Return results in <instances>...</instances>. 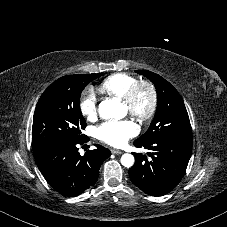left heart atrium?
<instances>
[{"instance_id": "left-heart-atrium-1", "label": "left heart atrium", "mask_w": 227, "mask_h": 227, "mask_svg": "<svg viewBox=\"0 0 227 227\" xmlns=\"http://www.w3.org/2000/svg\"><path fill=\"white\" fill-rule=\"evenodd\" d=\"M137 134L136 127L130 121H108L97 128L98 138L114 147L124 146Z\"/></svg>"}]
</instances>
